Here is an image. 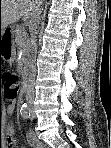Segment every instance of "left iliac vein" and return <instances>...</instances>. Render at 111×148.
<instances>
[{
  "instance_id": "left-iliac-vein-1",
  "label": "left iliac vein",
  "mask_w": 111,
  "mask_h": 148,
  "mask_svg": "<svg viewBox=\"0 0 111 148\" xmlns=\"http://www.w3.org/2000/svg\"><path fill=\"white\" fill-rule=\"evenodd\" d=\"M35 115H34V111L32 108H30V119H34Z\"/></svg>"
}]
</instances>
